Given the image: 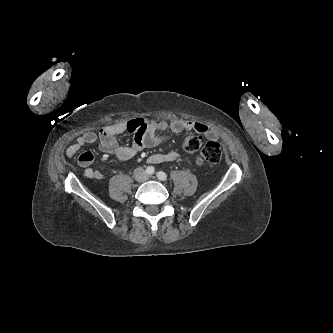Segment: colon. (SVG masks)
Masks as SVG:
<instances>
[{"instance_id": "5ec220e1", "label": "colon", "mask_w": 333, "mask_h": 333, "mask_svg": "<svg viewBox=\"0 0 333 333\" xmlns=\"http://www.w3.org/2000/svg\"><path fill=\"white\" fill-rule=\"evenodd\" d=\"M202 148L197 164H218L222 160V148L217 142L210 141L203 145V140L198 136H189L183 143V149L187 153H194Z\"/></svg>"}]
</instances>
